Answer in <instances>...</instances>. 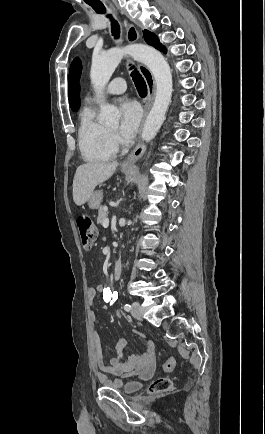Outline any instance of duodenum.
<instances>
[{
    "mask_svg": "<svg viewBox=\"0 0 265 434\" xmlns=\"http://www.w3.org/2000/svg\"><path fill=\"white\" fill-rule=\"evenodd\" d=\"M123 265L124 263L122 258H119L114 262L111 273L112 281H117L121 278L123 272Z\"/></svg>",
    "mask_w": 265,
    "mask_h": 434,
    "instance_id": "duodenum-1",
    "label": "duodenum"
}]
</instances>
